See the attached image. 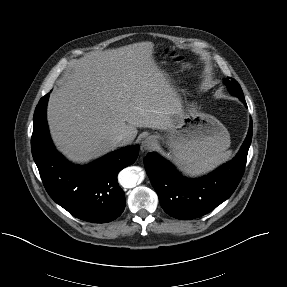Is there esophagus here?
I'll return each mask as SVG.
<instances>
[{
	"mask_svg": "<svg viewBox=\"0 0 287 287\" xmlns=\"http://www.w3.org/2000/svg\"><path fill=\"white\" fill-rule=\"evenodd\" d=\"M156 142L157 140L155 137L149 136L143 141V148L145 150H150L155 146Z\"/></svg>",
	"mask_w": 287,
	"mask_h": 287,
	"instance_id": "1",
	"label": "esophagus"
}]
</instances>
